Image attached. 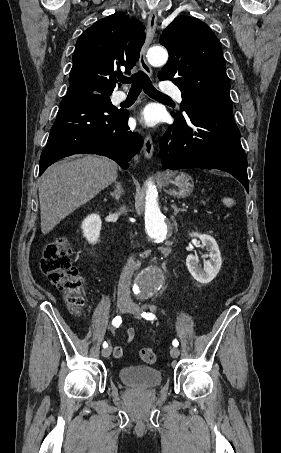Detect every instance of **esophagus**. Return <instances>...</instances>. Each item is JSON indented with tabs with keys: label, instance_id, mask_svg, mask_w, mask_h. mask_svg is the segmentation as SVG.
Segmentation results:
<instances>
[{
	"label": "esophagus",
	"instance_id": "esophagus-1",
	"mask_svg": "<svg viewBox=\"0 0 281 453\" xmlns=\"http://www.w3.org/2000/svg\"><path fill=\"white\" fill-rule=\"evenodd\" d=\"M156 27H157V12L156 10H152L148 17L146 40L141 49L139 58V64L141 69L150 76L152 75V69L146 61V52L150 46V43H152V40L154 39ZM142 150L145 158L150 159L152 157L154 152V145L150 134H147V136L145 137Z\"/></svg>",
	"mask_w": 281,
	"mask_h": 453
}]
</instances>
